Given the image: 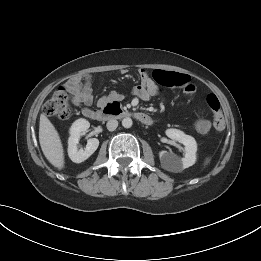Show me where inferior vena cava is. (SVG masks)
Listing matches in <instances>:
<instances>
[{
	"instance_id": "obj_1",
	"label": "inferior vena cava",
	"mask_w": 261,
	"mask_h": 261,
	"mask_svg": "<svg viewBox=\"0 0 261 261\" xmlns=\"http://www.w3.org/2000/svg\"><path fill=\"white\" fill-rule=\"evenodd\" d=\"M106 126H107V129H108L109 131H114V130L117 128V126H118V121L115 120V119H110V120L107 122Z\"/></svg>"
}]
</instances>
